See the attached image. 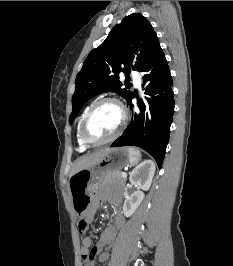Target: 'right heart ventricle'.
Listing matches in <instances>:
<instances>
[{
    "label": "right heart ventricle",
    "mask_w": 233,
    "mask_h": 266,
    "mask_svg": "<svg viewBox=\"0 0 233 266\" xmlns=\"http://www.w3.org/2000/svg\"><path fill=\"white\" fill-rule=\"evenodd\" d=\"M91 106H92V104L89 105V106H87V107L84 109V111L82 112V114H81V116H80V118H79L78 124H77V132H76V136H77V142H78V145H79V149H80L81 151L86 150L87 146L81 141V138H80V135H79L80 125H81V122H82V120H83L85 114L87 113V111L89 110V108H90Z\"/></svg>",
    "instance_id": "right-heart-ventricle-1"
}]
</instances>
